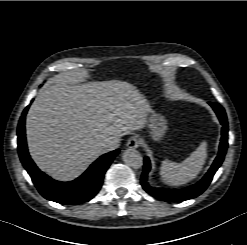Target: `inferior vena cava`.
<instances>
[{
    "label": "inferior vena cava",
    "mask_w": 247,
    "mask_h": 245,
    "mask_svg": "<svg viewBox=\"0 0 247 245\" xmlns=\"http://www.w3.org/2000/svg\"><path fill=\"white\" fill-rule=\"evenodd\" d=\"M102 147L105 152L114 150L118 147V141L113 138H107L106 140L103 141Z\"/></svg>",
    "instance_id": "602c4592"
}]
</instances>
